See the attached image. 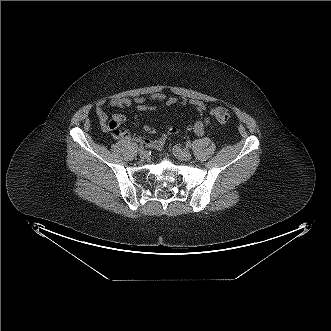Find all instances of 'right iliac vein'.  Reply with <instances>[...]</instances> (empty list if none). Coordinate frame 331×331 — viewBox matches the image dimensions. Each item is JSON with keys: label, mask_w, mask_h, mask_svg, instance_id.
<instances>
[{"label": "right iliac vein", "mask_w": 331, "mask_h": 331, "mask_svg": "<svg viewBox=\"0 0 331 331\" xmlns=\"http://www.w3.org/2000/svg\"><path fill=\"white\" fill-rule=\"evenodd\" d=\"M140 158L141 159H147L148 158V152L146 150L140 151Z\"/></svg>", "instance_id": "right-iliac-vein-1"}]
</instances>
